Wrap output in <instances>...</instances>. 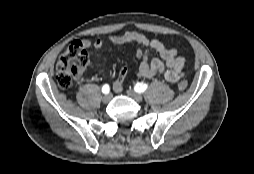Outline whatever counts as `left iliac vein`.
<instances>
[{
  "label": "left iliac vein",
  "instance_id": "1",
  "mask_svg": "<svg viewBox=\"0 0 254 174\" xmlns=\"http://www.w3.org/2000/svg\"><path fill=\"white\" fill-rule=\"evenodd\" d=\"M126 93L137 102H141L143 100V96L140 93L134 92L132 90H127Z\"/></svg>",
  "mask_w": 254,
  "mask_h": 174
}]
</instances>
